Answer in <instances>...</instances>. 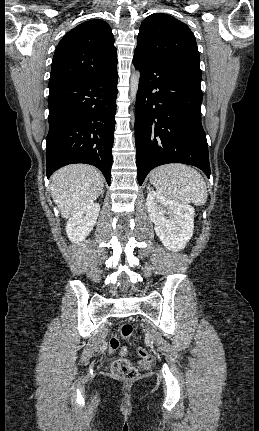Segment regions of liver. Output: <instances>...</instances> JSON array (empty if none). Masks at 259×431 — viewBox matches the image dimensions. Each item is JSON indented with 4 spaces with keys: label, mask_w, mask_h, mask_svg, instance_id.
<instances>
[{
    "label": "liver",
    "mask_w": 259,
    "mask_h": 431,
    "mask_svg": "<svg viewBox=\"0 0 259 431\" xmlns=\"http://www.w3.org/2000/svg\"><path fill=\"white\" fill-rule=\"evenodd\" d=\"M103 186L100 171L86 164L65 166L51 177L52 198L65 219L93 203L102 193Z\"/></svg>",
    "instance_id": "obj_1"
}]
</instances>
